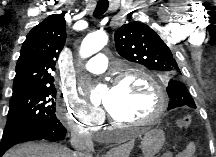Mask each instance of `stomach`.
Returning <instances> with one entry per match:
<instances>
[{
	"label": "stomach",
	"instance_id": "obj_1",
	"mask_svg": "<svg viewBox=\"0 0 216 157\" xmlns=\"http://www.w3.org/2000/svg\"><path fill=\"white\" fill-rule=\"evenodd\" d=\"M164 142L165 134L162 129L154 128L147 130L141 138L140 149L142 157H154L161 150Z\"/></svg>",
	"mask_w": 216,
	"mask_h": 157
}]
</instances>
